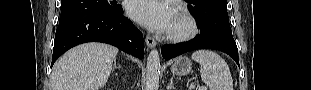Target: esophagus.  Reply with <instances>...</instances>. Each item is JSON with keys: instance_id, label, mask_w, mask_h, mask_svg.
<instances>
[{"instance_id": "34e87169", "label": "esophagus", "mask_w": 311, "mask_h": 90, "mask_svg": "<svg viewBox=\"0 0 311 90\" xmlns=\"http://www.w3.org/2000/svg\"><path fill=\"white\" fill-rule=\"evenodd\" d=\"M145 42L149 48H153L156 46V41L150 36H146Z\"/></svg>"}]
</instances>
